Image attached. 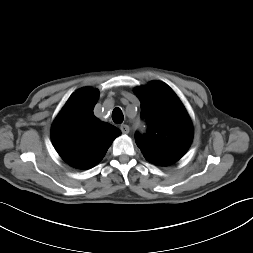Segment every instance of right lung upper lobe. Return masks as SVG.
Masks as SVG:
<instances>
[{
  "label": "right lung upper lobe",
  "instance_id": "right-lung-upper-lobe-1",
  "mask_svg": "<svg viewBox=\"0 0 253 253\" xmlns=\"http://www.w3.org/2000/svg\"><path fill=\"white\" fill-rule=\"evenodd\" d=\"M96 89L77 90L56 117L51 138L59 155L71 166L88 169L102 160L112 141L121 134L115 126L93 114Z\"/></svg>",
  "mask_w": 253,
  "mask_h": 253
}]
</instances>
